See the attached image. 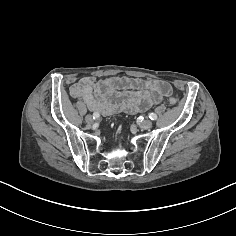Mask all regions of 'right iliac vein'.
<instances>
[{"label": "right iliac vein", "instance_id": "63e3f726", "mask_svg": "<svg viewBox=\"0 0 236 236\" xmlns=\"http://www.w3.org/2000/svg\"><path fill=\"white\" fill-rule=\"evenodd\" d=\"M85 121L88 123V124H91L93 123V117L92 115L88 114L85 116Z\"/></svg>", "mask_w": 236, "mask_h": 236}]
</instances>
